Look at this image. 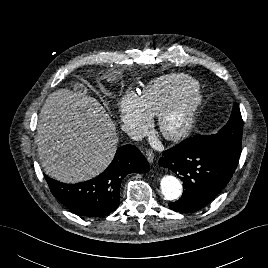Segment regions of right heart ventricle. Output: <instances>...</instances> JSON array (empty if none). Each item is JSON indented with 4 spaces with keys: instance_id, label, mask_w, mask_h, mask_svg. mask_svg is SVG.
I'll list each match as a JSON object with an SVG mask.
<instances>
[{
    "instance_id": "e07e8e85",
    "label": "right heart ventricle",
    "mask_w": 268,
    "mask_h": 268,
    "mask_svg": "<svg viewBox=\"0 0 268 268\" xmlns=\"http://www.w3.org/2000/svg\"><path fill=\"white\" fill-rule=\"evenodd\" d=\"M198 82L189 75L172 73L162 75L143 87L142 99L152 115H158L164 106L181 91L198 86Z\"/></svg>"
}]
</instances>
